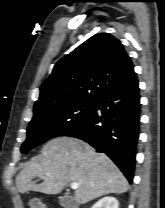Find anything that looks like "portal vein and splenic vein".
I'll return each mask as SVG.
<instances>
[{
    "label": "portal vein and splenic vein",
    "mask_w": 165,
    "mask_h": 208,
    "mask_svg": "<svg viewBox=\"0 0 165 208\" xmlns=\"http://www.w3.org/2000/svg\"><path fill=\"white\" fill-rule=\"evenodd\" d=\"M79 187V184L76 182L71 183V188L72 189H77Z\"/></svg>",
    "instance_id": "portal-vein-and-splenic-vein-1"
}]
</instances>
